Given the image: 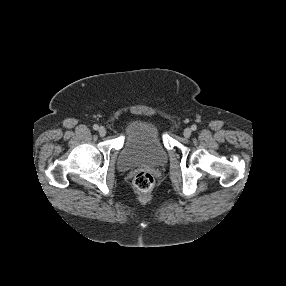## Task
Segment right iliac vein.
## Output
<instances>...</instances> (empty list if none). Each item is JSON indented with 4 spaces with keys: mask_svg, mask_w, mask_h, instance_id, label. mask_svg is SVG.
I'll list each match as a JSON object with an SVG mask.
<instances>
[{
    "mask_svg": "<svg viewBox=\"0 0 286 286\" xmlns=\"http://www.w3.org/2000/svg\"><path fill=\"white\" fill-rule=\"evenodd\" d=\"M98 133L101 137L105 136L106 135V129L104 127H100L98 129Z\"/></svg>",
    "mask_w": 286,
    "mask_h": 286,
    "instance_id": "obj_1",
    "label": "right iliac vein"
}]
</instances>
